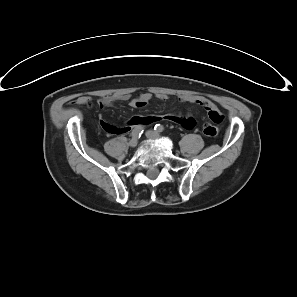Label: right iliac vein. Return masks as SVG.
Wrapping results in <instances>:
<instances>
[{"label":"right iliac vein","mask_w":297,"mask_h":297,"mask_svg":"<svg viewBox=\"0 0 297 297\" xmlns=\"http://www.w3.org/2000/svg\"><path fill=\"white\" fill-rule=\"evenodd\" d=\"M137 143H138L137 137H134L130 140L129 145L131 147H135L137 145Z\"/></svg>","instance_id":"right-iliac-vein-1"}]
</instances>
